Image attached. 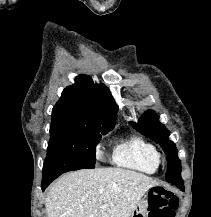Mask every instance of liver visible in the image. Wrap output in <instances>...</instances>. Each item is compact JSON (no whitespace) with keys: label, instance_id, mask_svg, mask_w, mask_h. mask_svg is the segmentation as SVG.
I'll return each mask as SVG.
<instances>
[{"label":"liver","instance_id":"obj_1","mask_svg":"<svg viewBox=\"0 0 211 217\" xmlns=\"http://www.w3.org/2000/svg\"><path fill=\"white\" fill-rule=\"evenodd\" d=\"M156 185L151 177L122 168L77 170L50 188L47 217H131L144 194Z\"/></svg>","mask_w":211,"mask_h":217}]
</instances>
